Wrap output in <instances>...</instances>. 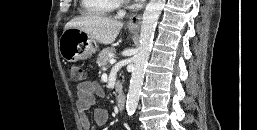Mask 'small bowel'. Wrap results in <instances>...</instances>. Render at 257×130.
I'll return each instance as SVG.
<instances>
[{
	"mask_svg": "<svg viewBox=\"0 0 257 130\" xmlns=\"http://www.w3.org/2000/svg\"><path fill=\"white\" fill-rule=\"evenodd\" d=\"M102 87L93 81H85L77 86L76 107L80 115L83 130H90L91 122L87 112L94 107L97 97H103ZM94 121L97 125H104L109 119V112L104 108H95L93 111Z\"/></svg>",
	"mask_w": 257,
	"mask_h": 130,
	"instance_id": "c3829d8e",
	"label": "small bowel"
}]
</instances>
